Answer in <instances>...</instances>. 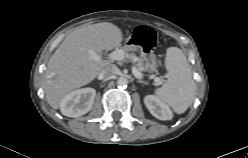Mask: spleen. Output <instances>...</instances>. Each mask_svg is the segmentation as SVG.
Instances as JSON below:
<instances>
[{
  "instance_id": "obj_1",
  "label": "spleen",
  "mask_w": 248,
  "mask_h": 158,
  "mask_svg": "<svg viewBox=\"0 0 248 158\" xmlns=\"http://www.w3.org/2000/svg\"><path fill=\"white\" fill-rule=\"evenodd\" d=\"M165 65L168 71L167 80L155 90V95L177 114H182L191 106L196 91L189 63L181 49L169 47Z\"/></svg>"
}]
</instances>
